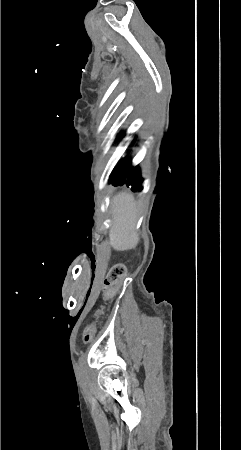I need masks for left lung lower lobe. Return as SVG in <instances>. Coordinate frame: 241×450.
Returning a JSON list of instances; mask_svg holds the SVG:
<instances>
[{
	"instance_id": "0a47b994",
	"label": "left lung lower lobe",
	"mask_w": 241,
	"mask_h": 450,
	"mask_svg": "<svg viewBox=\"0 0 241 450\" xmlns=\"http://www.w3.org/2000/svg\"><path fill=\"white\" fill-rule=\"evenodd\" d=\"M119 136L123 135L119 134ZM109 183L114 185L126 184L127 186H131L133 191L142 190V179L139 175V171L137 167L132 168L130 166V161L127 159H124L118 163L110 175Z\"/></svg>"
}]
</instances>
